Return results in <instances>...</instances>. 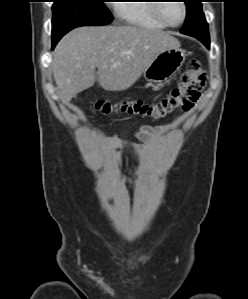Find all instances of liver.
<instances>
[{
    "label": "liver",
    "mask_w": 248,
    "mask_h": 299,
    "mask_svg": "<svg viewBox=\"0 0 248 299\" xmlns=\"http://www.w3.org/2000/svg\"><path fill=\"white\" fill-rule=\"evenodd\" d=\"M180 47L169 32L133 25L80 27L66 36L53 53L52 70L63 103L94 85L107 91L131 87L162 52Z\"/></svg>",
    "instance_id": "liver-1"
}]
</instances>
